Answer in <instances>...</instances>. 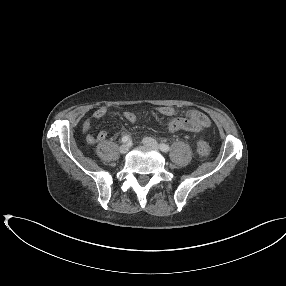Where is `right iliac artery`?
Segmentation results:
<instances>
[{
  "label": "right iliac artery",
  "instance_id": "obj_1",
  "mask_svg": "<svg viewBox=\"0 0 286 286\" xmlns=\"http://www.w3.org/2000/svg\"><path fill=\"white\" fill-rule=\"evenodd\" d=\"M130 141V137L128 135H125L122 137V142L123 143H128Z\"/></svg>",
  "mask_w": 286,
  "mask_h": 286
}]
</instances>
